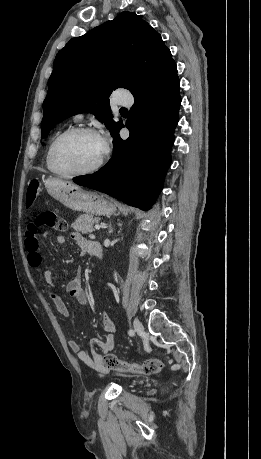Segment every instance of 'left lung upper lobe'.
Masks as SVG:
<instances>
[{"label":"left lung upper lobe","instance_id":"obj_1","mask_svg":"<svg viewBox=\"0 0 261 459\" xmlns=\"http://www.w3.org/2000/svg\"><path fill=\"white\" fill-rule=\"evenodd\" d=\"M172 62L160 34L133 12H122L71 39L54 61L43 103L41 138L47 137L55 124L84 111L105 122L114 136L122 121L111 119L107 97L120 87L133 95L138 93Z\"/></svg>","mask_w":261,"mask_h":459}]
</instances>
